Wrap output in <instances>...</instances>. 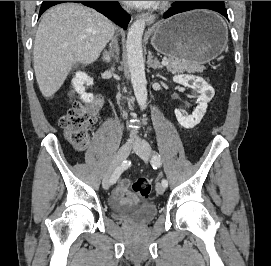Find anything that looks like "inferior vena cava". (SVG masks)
Returning <instances> with one entry per match:
<instances>
[{
	"mask_svg": "<svg viewBox=\"0 0 271 266\" xmlns=\"http://www.w3.org/2000/svg\"><path fill=\"white\" fill-rule=\"evenodd\" d=\"M110 46H111V45H110ZM130 137H131L132 139L137 138L136 132H135V131H131Z\"/></svg>",
	"mask_w": 271,
	"mask_h": 266,
	"instance_id": "602c4592",
	"label": "inferior vena cava"
}]
</instances>
